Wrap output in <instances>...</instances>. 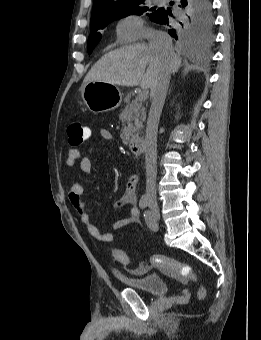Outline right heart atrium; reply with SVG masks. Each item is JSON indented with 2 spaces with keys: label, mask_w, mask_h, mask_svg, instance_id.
<instances>
[{
  "label": "right heart atrium",
  "mask_w": 261,
  "mask_h": 340,
  "mask_svg": "<svg viewBox=\"0 0 261 340\" xmlns=\"http://www.w3.org/2000/svg\"><path fill=\"white\" fill-rule=\"evenodd\" d=\"M116 31L123 42L139 41L151 34L141 18L135 14H129L121 18L117 23Z\"/></svg>",
  "instance_id": "d8ad5b80"
}]
</instances>
